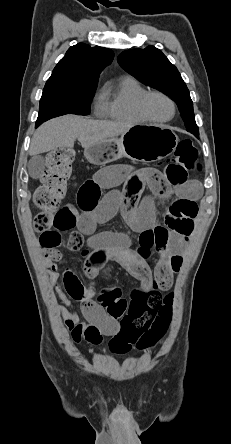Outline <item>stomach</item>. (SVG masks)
I'll return each instance as SVG.
<instances>
[{"mask_svg": "<svg viewBox=\"0 0 231 444\" xmlns=\"http://www.w3.org/2000/svg\"><path fill=\"white\" fill-rule=\"evenodd\" d=\"M178 137L163 125L143 124L131 127L120 138H110L84 152L89 163L106 164L122 156L135 161L154 162L174 152Z\"/></svg>", "mask_w": 231, "mask_h": 444, "instance_id": "obj_1", "label": "stomach"}]
</instances>
